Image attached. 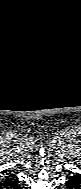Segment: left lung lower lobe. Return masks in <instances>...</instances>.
Masks as SVG:
<instances>
[{"label":"left lung lower lobe","mask_w":81,"mask_h":189,"mask_svg":"<svg viewBox=\"0 0 81 189\" xmlns=\"http://www.w3.org/2000/svg\"><path fill=\"white\" fill-rule=\"evenodd\" d=\"M64 187L67 189H81V175L73 173V175L68 176Z\"/></svg>","instance_id":"1"}]
</instances>
